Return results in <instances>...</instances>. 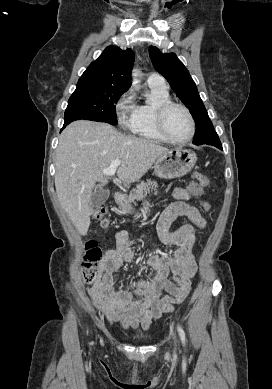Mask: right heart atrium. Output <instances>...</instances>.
Returning a JSON list of instances; mask_svg holds the SVG:
<instances>
[{
    "label": "right heart atrium",
    "mask_w": 272,
    "mask_h": 389,
    "mask_svg": "<svg viewBox=\"0 0 272 389\" xmlns=\"http://www.w3.org/2000/svg\"><path fill=\"white\" fill-rule=\"evenodd\" d=\"M134 98L132 91L128 90L121 95L118 99L115 109L118 116V120L121 124H125L128 114L133 111Z\"/></svg>",
    "instance_id": "d8ad5b80"
}]
</instances>
